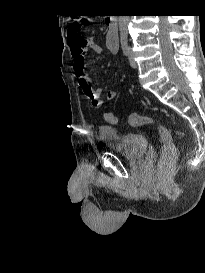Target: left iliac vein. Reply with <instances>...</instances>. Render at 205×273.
Instances as JSON below:
<instances>
[{"label":"left iliac vein","instance_id":"left-iliac-vein-1","mask_svg":"<svg viewBox=\"0 0 205 273\" xmlns=\"http://www.w3.org/2000/svg\"><path fill=\"white\" fill-rule=\"evenodd\" d=\"M129 63L132 68H137V63L134 60V54L130 47H129Z\"/></svg>","mask_w":205,"mask_h":273}]
</instances>
